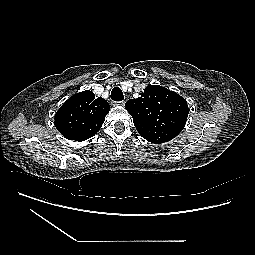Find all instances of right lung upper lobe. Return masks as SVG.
Here are the masks:
<instances>
[{
    "mask_svg": "<svg viewBox=\"0 0 255 255\" xmlns=\"http://www.w3.org/2000/svg\"><path fill=\"white\" fill-rule=\"evenodd\" d=\"M108 102L86 90L70 97L56 112L55 126L67 139L84 141L101 128L109 112Z\"/></svg>",
    "mask_w": 255,
    "mask_h": 255,
    "instance_id": "obj_1",
    "label": "right lung upper lobe"
}]
</instances>
